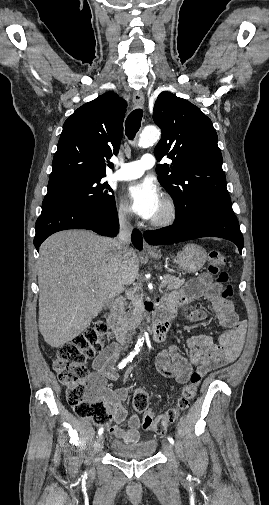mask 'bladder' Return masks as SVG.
Returning <instances> with one entry per match:
<instances>
[{"mask_svg":"<svg viewBox=\"0 0 269 505\" xmlns=\"http://www.w3.org/2000/svg\"><path fill=\"white\" fill-rule=\"evenodd\" d=\"M158 443L154 439L143 440L135 443L113 440L110 443L111 452L124 459L147 458L155 454Z\"/></svg>","mask_w":269,"mask_h":505,"instance_id":"31cf9c89","label":"bladder"}]
</instances>
